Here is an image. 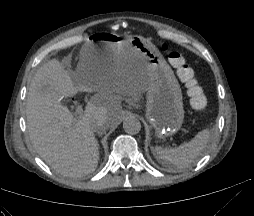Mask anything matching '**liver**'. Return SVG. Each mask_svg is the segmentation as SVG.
<instances>
[{
    "label": "liver",
    "instance_id": "6515ba94",
    "mask_svg": "<svg viewBox=\"0 0 254 216\" xmlns=\"http://www.w3.org/2000/svg\"><path fill=\"white\" fill-rule=\"evenodd\" d=\"M88 51L89 44H85L72 73L56 58L43 64L27 95V130L34 149L52 169L69 177L88 175L98 166L99 144L91 124L105 118L108 126L115 125L122 113V99H137L149 84L143 63L95 71L88 63ZM78 91L96 94L87 102L84 114L74 118L60 101Z\"/></svg>",
    "mask_w": 254,
    "mask_h": 216
}]
</instances>
